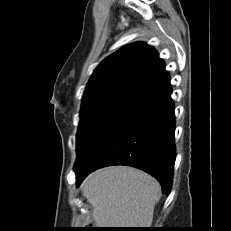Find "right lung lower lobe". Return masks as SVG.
<instances>
[{"instance_id":"obj_1","label":"right lung lower lobe","mask_w":231,"mask_h":231,"mask_svg":"<svg viewBox=\"0 0 231 231\" xmlns=\"http://www.w3.org/2000/svg\"><path fill=\"white\" fill-rule=\"evenodd\" d=\"M174 104L171 94L147 103L112 132L75 170L77 185L92 171L110 165L139 168L170 192L175 162Z\"/></svg>"}]
</instances>
